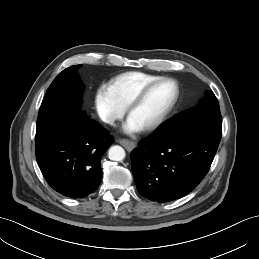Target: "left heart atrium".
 Listing matches in <instances>:
<instances>
[{"label":"left heart atrium","mask_w":259,"mask_h":259,"mask_svg":"<svg viewBox=\"0 0 259 259\" xmlns=\"http://www.w3.org/2000/svg\"><path fill=\"white\" fill-rule=\"evenodd\" d=\"M123 130L129 134L137 133L142 130V126L129 116V118L123 125Z\"/></svg>","instance_id":"39dd6f15"}]
</instances>
